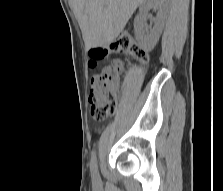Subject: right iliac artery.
<instances>
[{"mask_svg":"<svg viewBox=\"0 0 223 191\" xmlns=\"http://www.w3.org/2000/svg\"><path fill=\"white\" fill-rule=\"evenodd\" d=\"M90 170H91L92 177L95 180H97L99 178V173H98V166H97V157L95 153H93L92 158H91Z\"/></svg>","mask_w":223,"mask_h":191,"instance_id":"1","label":"right iliac artery"}]
</instances>
